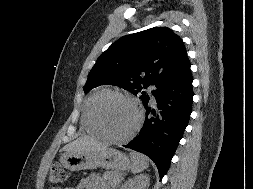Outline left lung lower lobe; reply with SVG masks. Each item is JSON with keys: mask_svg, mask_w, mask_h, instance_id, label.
Listing matches in <instances>:
<instances>
[{"mask_svg": "<svg viewBox=\"0 0 253 189\" xmlns=\"http://www.w3.org/2000/svg\"><path fill=\"white\" fill-rule=\"evenodd\" d=\"M192 74L188 57L178 72L154 95L155 108L146 107V119L139 135L126 148L149 156L156 164L160 178L166 174L174 152L188 125L192 112Z\"/></svg>", "mask_w": 253, "mask_h": 189, "instance_id": "left-lung-lower-lobe-1", "label": "left lung lower lobe"}]
</instances>
